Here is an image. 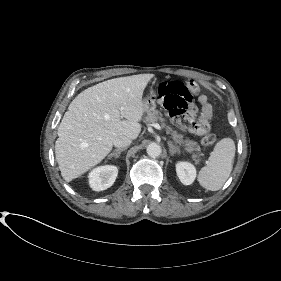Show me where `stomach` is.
Returning <instances> with one entry per match:
<instances>
[{"instance_id": "1", "label": "stomach", "mask_w": 281, "mask_h": 281, "mask_svg": "<svg viewBox=\"0 0 281 281\" xmlns=\"http://www.w3.org/2000/svg\"><path fill=\"white\" fill-rule=\"evenodd\" d=\"M142 105H143L144 112L148 113V112H151V111L155 110L156 100L154 98V95L151 94L147 98L143 99Z\"/></svg>"}]
</instances>
